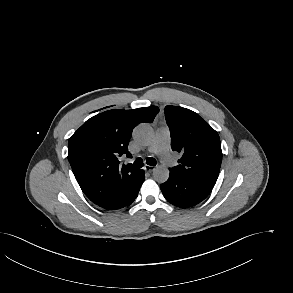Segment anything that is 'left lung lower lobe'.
I'll return each mask as SVG.
<instances>
[{"label":"left lung lower lobe","instance_id":"1","mask_svg":"<svg viewBox=\"0 0 293 293\" xmlns=\"http://www.w3.org/2000/svg\"><path fill=\"white\" fill-rule=\"evenodd\" d=\"M215 184L189 179L170 171L168 180L160 185L164 197L180 208L194 206L203 201Z\"/></svg>","mask_w":293,"mask_h":293}]
</instances>
